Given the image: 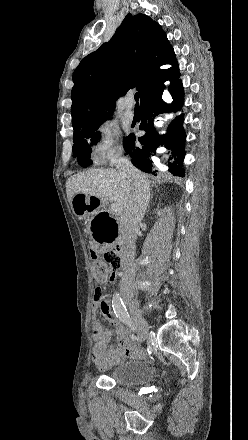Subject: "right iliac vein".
Returning <instances> with one entry per match:
<instances>
[{
  "label": "right iliac vein",
  "instance_id": "63e3f726",
  "mask_svg": "<svg viewBox=\"0 0 248 440\" xmlns=\"http://www.w3.org/2000/svg\"><path fill=\"white\" fill-rule=\"evenodd\" d=\"M126 303L129 305L140 340H145L148 337V330H149L148 323L143 318L139 309L136 307L134 301L131 298H127Z\"/></svg>",
  "mask_w": 248,
  "mask_h": 440
}]
</instances>
